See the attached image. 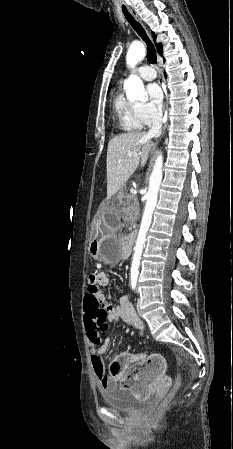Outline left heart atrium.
Returning a JSON list of instances; mask_svg holds the SVG:
<instances>
[{"label":"left heart atrium","mask_w":233,"mask_h":449,"mask_svg":"<svg viewBox=\"0 0 233 449\" xmlns=\"http://www.w3.org/2000/svg\"><path fill=\"white\" fill-rule=\"evenodd\" d=\"M147 93L150 100L157 106H160L163 100V91L157 83H152L147 86Z\"/></svg>","instance_id":"obj_1"}]
</instances>
